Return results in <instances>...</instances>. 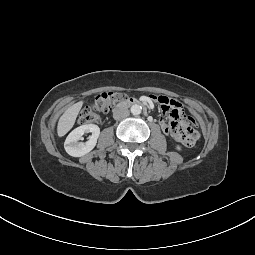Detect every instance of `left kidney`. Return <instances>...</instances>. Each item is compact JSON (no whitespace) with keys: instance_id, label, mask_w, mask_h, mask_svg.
Here are the masks:
<instances>
[{"instance_id":"left-kidney-1","label":"left kidney","mask_w":255,"mask_h":255,"mask_svg":"<svg viewBox=\"0 0 255 255\" xmlns=\"http://www.w3.org/2000/svg\"><path fill=\"white\" fill-rule=\"evenodd\" d=\"M176 149H177L178 151H181V146H180V145H176Z\"/></svg>"}]
</instances>
